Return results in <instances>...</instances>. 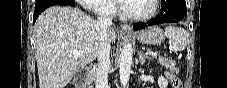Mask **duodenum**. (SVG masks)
Masks as SVG:
<instances>
[{
	"label": "duodenum",
	"instance_id": "duodenum-1",
	"mask_svg": "<svg viewBox=\"0 0 227 88\" xmlns=\"http://www.w3.org/2000/svg\"><path fill=\"white\" fill-rule=\"evenodd\" d=\"M88 77H89V70L82 69L75 78V82L79 86V88L87 87Z\"/></svg>",
	"mask_w": 227,
	"mask_h": 88
}]
</instances>
